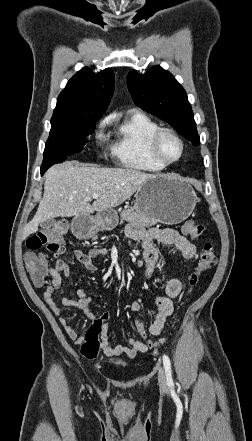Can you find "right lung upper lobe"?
Instances as JSON below:
<instances>
[{
    "instance_id": "obj_1",
    "label": "right lung upper lobe",
    "mask_w": 252,
    "mask_h": 441,
    "mask_svg": "<svg viewBox=\"0 0 252 441\" xmlns=\"http://www.w3.org/2000/svg\"><path fill=\"white\" fill-rule=\"evenodd\" d=\"M114 90V72L107 68L93 73L85 67L67 83L57 99L53 115L100 119Z\"/></svg>"
}]
</instances>
